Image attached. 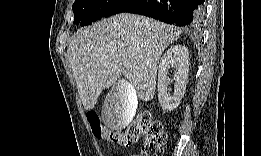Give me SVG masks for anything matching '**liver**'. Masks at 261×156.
<instances>
[{
	"label": "liver",
	"instance_id": "liver-1",
	"mask_svg": "<svg viewBox=\"0 0 261 156\" xmlns=\"http://www.w3.org/2000/svg\"><path fill=\"white\" fill-rule=\"evenodd\" d=\"M180 35L181 31L175 26L129 13L77 30L67 54L84 108L92 110L102 91L122 75L141 100L153 99L161 55ZM123 62L130 67H124ZM120 89L114 88L108 97L119 93L125 98ZM130 109L131 114L119 119L113 129L125 128L131 122L134 115L131 104Z\"/></svg>",
	"mask_w": 261,
	"mask_h": 156
}]
</instances>
